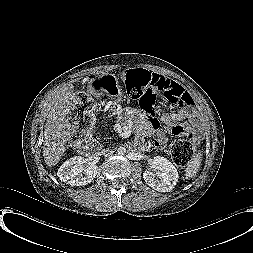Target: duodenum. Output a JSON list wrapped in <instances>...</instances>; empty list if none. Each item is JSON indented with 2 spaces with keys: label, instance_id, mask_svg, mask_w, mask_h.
<instances>
[{
  "label": "duodenum",
  "instance_id": "duodenum-1",
  "mask_svg": "<svg viewBox=\"0 0 253 253\" xmlns=\"http://www.w3.org/2000/svg\"><path fill=\"white\" fill-rule=\"evenodd\" d=\"M101 149L99 145L93 143V142H86L82 146V152L88 156H97L100 153Z\"/></svg>",
  "mask_w": 253,
  "mask_h": 253
}]
</instances>
